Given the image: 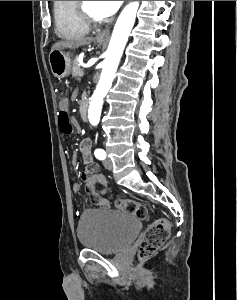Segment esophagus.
Segmentation results:
<instances>
[{
  "mask_svg": "<svg viewBox=\"0 0 237 300\" xmlns=\"http://www.w3.org/2000/svg\"><path fill=\"white\" fill-rule=\"evenodd\" d=\"M109 38V30L105 29L104 31H101V33L97 34L96 40L103 41Z\"/></svg>",
  "mask_w": 237,
  "mask_h": 300,
  "instance_id": "1",
  "label": "esophagus"
}]
</instances>
